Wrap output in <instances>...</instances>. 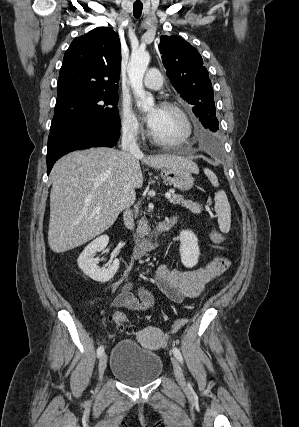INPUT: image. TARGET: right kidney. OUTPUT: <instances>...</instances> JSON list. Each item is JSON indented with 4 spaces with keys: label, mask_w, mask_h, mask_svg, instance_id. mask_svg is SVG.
<instances>
[{
    "label": "right kidney",
    "mask_w": 299,
    "mask_h": 427,
    "mask_svg": "<svg viewBox=\"0 0 299 427\" xmlns=\"http://www.w3.org/2000/svg\"><path fill=\"white\" fill-rule=\"evenodd\" d=\"M108 242L109 237L107 235L96 238L85 247L77 260L79 268L85 275L101 283H105L112 279L119 269L118 259H114L113 263L107 268H100L98 266L99 259L94 258L96 252L104 250Z\"/></svg>",
    "instance_id": "obj_1"
}]
</instances>
